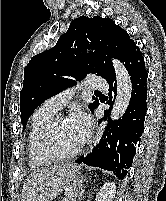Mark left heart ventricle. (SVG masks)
Wrapping results in <instances>:
<instances>
[{
    "label": "left heart ventricle",
    "instance_id": "left-heart-ventricle-1",
    "mask_svg": "<svg viewBox=\"0 0 166 201\" xmlns=\"http://www.w3.org/2000/svg\"><path fill=\"white\" fill-rule=\"evenodd\" d=\"M53 145L60 152H70L81 145L79 137L70 122L62 121L55 127Z\"/></svg>",
    "mask_w": 166,
    "mask_h": 201
}]
</instances>
